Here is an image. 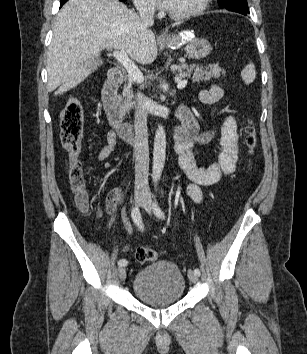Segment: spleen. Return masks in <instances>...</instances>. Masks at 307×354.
Here are the masks:
<instances>
[{
  "label": "spleen",
  "mask_w": 307,
  "mask_h": 354,
  "mask_svg": "<svg viewBox=\"0 0 307 354\" xmlns=\"http://www.w3.org/2000/svg\"><path fill=\"white\" fill-rule=\"evenodd\" d=\"M241 77L245 82V84H250L255 80L256 72H255V66L252 62L246 65L244 69L241 71Z\"/></svg>",
  "instance_id": "spleen-1"
}]
</instances>
